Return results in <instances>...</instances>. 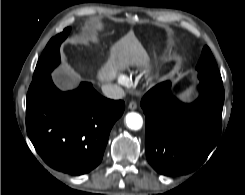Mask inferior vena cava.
<instances>
[{"label":"inferior vena cava","mask_w":245,"mask_h":195,"mask_svg":"<svg viewBox=\"0 0 245 195\" xmlns=\"http://www.w3.org/2000/svg\"><path fill=\"white\" fill-rule=\"evenodd\" d=\"M102 92L107 98L114 100L123 99L125 97V91L115 84L102 85Z\"/></svg>","instance_id":"obj_1"}]
</instances>
